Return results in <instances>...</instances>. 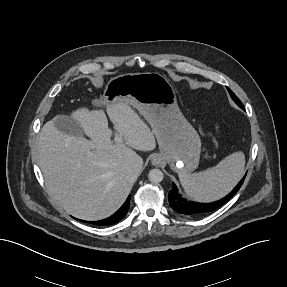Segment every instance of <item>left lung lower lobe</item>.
Returning a JSON list of instances; mask_svg holds the SVG:
<instances>
[{
    "mask_svg": "<svg viewBox=\"0 0 287 287\" xmlns=\"http://www.w3.org/2000/svg\"><path fill=\"white\" fill-rule=\"evenodd\" d=\"M244 178L238 183V185L224 198L213 203H198L186 200L179 193L176 185L173 183V187L168 194V200L171 208L181 216L185 217H198L208 214L226 203L242 186Z\"/></svg>",
    "mask_w": 287,
    "mask_h": 287,
    "instance_id": "0a47b994",
    "label": "left lung lower lobe"
}]
</instances>
